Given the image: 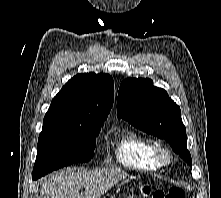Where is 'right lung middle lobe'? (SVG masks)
<instances>
[{
  "instance_id": "right-lung-middle-lobe-1",
  "label": "right lung middle lobe",
  "mask_w": 221,
  "mask_h": 198,
  "mask_svg": "<svg viewBox=\"0 0 221 198\" xmlns=\"http://www.w3.org/2000/svg\"><path fill=\"white\" fill-rule=\"evenodd\" d=\"M101 126L86 132L42 131L32 178L36 180L64 166L88 162L94 155Z\"/></svg>"
}]
</instances>
